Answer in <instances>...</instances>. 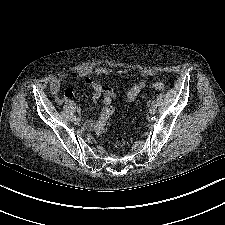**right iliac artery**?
I'll return each mask as SVG.
<instances>
[{"label":"right iliac artery","instance_id":"82829eb1","mask_svg":"<svg viewBox=\"0 0 225 225\" xmlns=\"http://www.w3.org/2000/svg\"><path fill=\"white\" fill-rule=\"evenodd\" d=\"M72 118H73V119H76V116H75V115H73V116H72Z\"/></svg>","mask_w":225,"mask_h":225}]
</instances>
